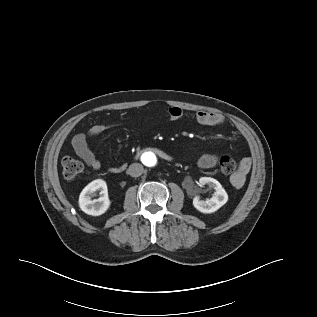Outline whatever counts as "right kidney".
<instances>
[{
  "mask_svg": "<svg viewBox=\"0 0 317 317\" xmlns=\"http://www.w3.org/2000/svg\"><path fill=\"white\" fill-rule=\"evenodd\" d=\"M96 191L101 195L98 199H92L96 196ZM79 207L83 212L92 216H99L105 213L110 206L107 184L102 179H96L89 183L79 195Z\"/></svg>",
  "mask_w": 317,
  "mask_h": 317,
  "instance_id": "1",
  "label": "right kidney"
}]
</instances>
